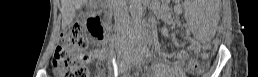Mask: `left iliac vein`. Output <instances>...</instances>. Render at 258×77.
<instances>
[{
	"label": "left iliac vein",
	"mask_w": 258,
	"mask_h": 77,
	"mask_svg": "<svg viewBox=\"0 0 258 77\" xmlns=\"http://www.w3.org/2000/svg\"><path fill=\"white\" fill-rule=\"evenodd\" d=\"M137 58H140V56H139V55H137Z\"/></svg>",
	"instance_id": "4c4485c4"
}]
</instances>
